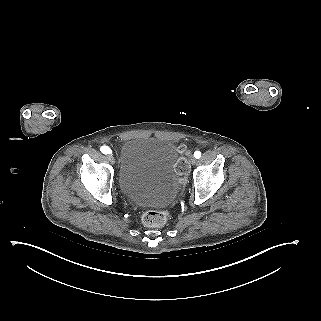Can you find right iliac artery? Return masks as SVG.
Masks as SVG:
<instances>
[{
    "instance_id": "82829eb1",
    "label": "right iliac artery",
    "mask_w": 321,
    "mask_h": 321,
    "mask_svg": "<svg viewBox=\"0 0 321 321\" xmlns=\"http://www.w3.org/2000/svg\"><path fill=\"white\" fill-rule=\"evenodd\" d=\"M100 150H101V152H102L103 154H110V153H112V152H111V149H110L108 146H102V147L100 148Z\"/></svg>"
}]
</instances>
